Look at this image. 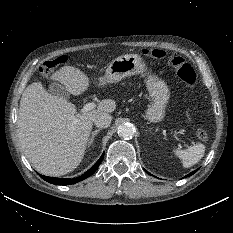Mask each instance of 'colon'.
<instances>
[{"label":"colon","mask_w":233,"mask_h":233,"mask_svg":"<svg viewBox=\"0 0 233 233\" xmlns=\"http://www.w3.org/2000/svg\"><path fill=\"white\" fill-rule=\"evenodd\" d=\"M142 53L151 58L162 59L167 56V53L162 49H144ZM67 62V56L60 55L52 60L46 61L42 64L40 72L44 76H48L58 66L63 65ZM169 64L176 70L179 78L190 88H194L197 81V74L194 68L186 62V60L178 55H172L168 58ZM196 136L201 141L208 139L207 132L199 128L196 131Z\"/></svg>","instance_id":"obj_1"}]
</instances>
